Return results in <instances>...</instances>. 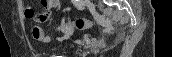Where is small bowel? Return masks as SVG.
Returning a JSON list of instances; mask_svg holds the SVG:
<instances>
[{
  "label": "small bowel",
  "instance_id": "obj_1",
  "mask_svg": "<svg viewBox=\"0 0 172 57\" xmlns=\"http://www.w3.org/2000/svg\"><path fill=\"white\" fill-rule=\"evenodd\" d=\"M41 3L43 5V7L45 8V11L42 12V13H38V14H35L34 10L32 7L30 6H27V7H30L31 10H32V14L31 15H28L26 13V8L24 10V17L26 19H34V21L38 24L40 23H44L46 21H48L52 15V10L54 8H56L58 5H59V1L58 0H41ZM41 30L42 33H43V30L42 28L39 26V25H33L31 27V34H32V37L34 35V33L37 31V30ZM36 40V39H35ZM37 41H49V37L45 36L44 33L42 34L41 38L37 39Z\"/></svg>",
  "mask_w": 172,
  "mask_h": 57
}]
</instances>
